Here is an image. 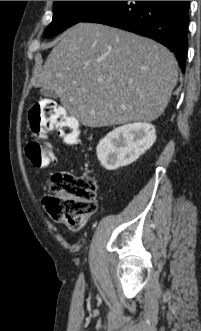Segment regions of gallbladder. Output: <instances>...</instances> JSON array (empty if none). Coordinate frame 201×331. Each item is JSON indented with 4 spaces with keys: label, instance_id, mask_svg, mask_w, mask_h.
Instances as JSON below:
<instances>
[{
    "label": "gallbladder",
    "instance_id": "obj_1",
    "mask_svg": "<svg viewBox=\"0 0 201 331\" xmlns=\"http://www.w3.org/2000/svg\"><path fill=\"white\" fill-rule=\"evenodd\" d=\"M40 92L46 98H52V99L58 98L57 92L53 89L42 88Z\"/></svg>",
    "mask_w": 201,
    "mask_h": 331
}]
</instances>
